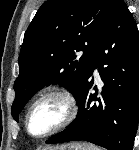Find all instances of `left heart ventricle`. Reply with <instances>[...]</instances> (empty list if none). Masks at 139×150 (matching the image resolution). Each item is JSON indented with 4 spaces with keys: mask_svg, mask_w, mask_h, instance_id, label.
Instances as JSON below:
<instances>
[{
    "mask_svg": "<svg viewBox=\"0 0 139 150\" xmlns=\"http://www.w3.org/2000/svg\"><path fill=\"white\" fill-rule=\"evenodd\" d=\"M65 115L66 107L60 98H46L39 102L31 113L30 131L34 135H42L58 125Z\"/></svg>",
    "mask_w": 139,
    "mask_h": 150,
    "instance_id": "b2bd125f",
    "label": "left heart ventricle"
}]
</instances>
